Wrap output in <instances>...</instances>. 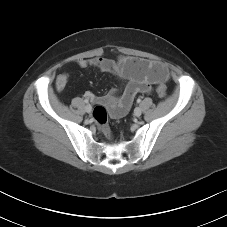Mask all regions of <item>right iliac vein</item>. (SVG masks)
I'll use <instances>...</instances> for the list:
<instances>
[{"label": "right iliac vein", "instance_id": "obj_1", "mask_svg": "<svg viewBox=\"0 0 227 227\" xmlns=\"http://www.w3.org/2000/svg\"><path fill=\"white\" fill-rule=\"evenodd\" d=\"M85 110L87 113H91V111H92L91 105H86Z\"/></svg>", "mask_w": 227, "mask_h": 227}]
</instances>
